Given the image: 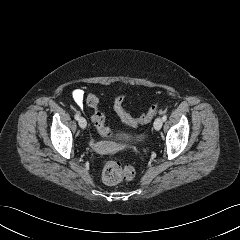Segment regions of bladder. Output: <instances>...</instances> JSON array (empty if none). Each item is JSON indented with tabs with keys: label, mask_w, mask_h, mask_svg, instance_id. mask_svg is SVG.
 <instances>
[{
	"label": "bladder",
	"mask_w": 240,
	"mask_h": 240,
	"mask_svg": "<svg viewBox=\"0 0 240 240\" xmlns=\"http://www.w3.org/2000/svg\"><path fill=\"white\" fill-rule=\"evenodd\" d=\"M128 136V134L127 133H121V138H126Z\"/></svg>",
	"instance_id": "obj_1"
}]
</instances>
